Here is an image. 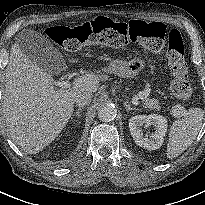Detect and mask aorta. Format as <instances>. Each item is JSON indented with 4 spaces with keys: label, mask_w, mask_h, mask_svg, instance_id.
Instances as JSON below:
<instances>
[{
    "label": "aorta",
    "mask_w": 205,
    "mask_h": 205,
    "mask_svg": "<svg viewBox=\"0 0 205 205\" xmlns=\"http://www.w3.org/2000/svg\"><path fill=\"white\" fill-rule=\"evenodd\" d=\"M116 117V110L112 105H105L98 111V118L103 122L114 120Z\"/></svg>",
    "instance_id": "1"
}]
</instances>
